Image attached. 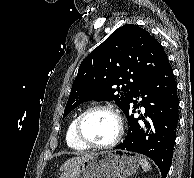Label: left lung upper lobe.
Here are the masks:
<instances>
[{
  "label": "left lung upper lobe",
  "instance_id": "left-lung-upper-lobe-1",
  "mask_svg": "<svg viewBox=\"0 0 194 178\" xmlns=\"http://www.w3.org/2000/svg\"><path fill=\"white\" fill-rule=\"evenodd\" d=\"M167 60L161 44L145 29L133 24L118 28L82 61L63 118L89 100L115 101L125 112L134 90Z\"/></svg>",
  "mask_w": 194,
  "mask_h": 178
}]
</instances>
